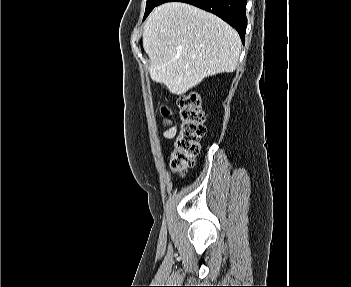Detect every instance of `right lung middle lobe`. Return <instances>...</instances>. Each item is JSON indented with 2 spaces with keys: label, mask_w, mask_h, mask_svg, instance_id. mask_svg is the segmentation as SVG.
<instances>
[{
  "label": "right lung middle lobe",
  "mask_w": 351,
  "mask_h": 287,
  "mask_svg": "<svg viewBox=\"0 0 351 287\" xmlns=\"http://www.w3.org/2000/svg\"><path fill=\"white\" fill-rule=\"evenodd\" d=\"M160 0H147L146 3V11L144 15V19L149 15V13L157 6Z\"/></svg>",
  "instance_id": "dd1d6c3e"
}]
</instances>
